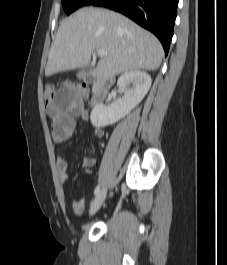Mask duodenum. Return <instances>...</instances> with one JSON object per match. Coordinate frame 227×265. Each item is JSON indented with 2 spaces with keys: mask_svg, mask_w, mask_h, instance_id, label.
Segmentation results:
<instances>
[{
  "mask_svg": "<svg viewBox=\"0 0 227 265\" xmlns=\"http://www.w3.org/2000/svg\"><path fill=\"white\" fill-rule=\"evenodd\" d=\"M84 80H86L87 82H92L94 84L93 94L90 101L91 106L95 107L101 104L105 100L111 88L112 80L107 77L101 76L95 78L90 74L84 75Z\"/></svg>",
  "mask_w": 227,
  "mask_h": 265,
  "instance_id": "obj_1",
  "label": "duodenum"
}]
</instances>
